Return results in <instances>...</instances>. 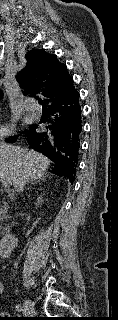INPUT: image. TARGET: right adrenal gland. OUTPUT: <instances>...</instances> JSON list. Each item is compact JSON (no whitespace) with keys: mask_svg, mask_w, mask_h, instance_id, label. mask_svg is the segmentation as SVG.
I'll list each match as a JSON object with an SVG mask.
<instances>
[{"mask_svg":"<svg viewBox=\"0 0 118 320\" xmlns=\"http://www.w3.org/2000/svg\"><path fill=\"white\" fill-rule=\"evenodd\" d=\"M45 177H46V176H43V177H41V178H39V179L35 180L34 182H32V183H31V185H34V184H36V183L40 182V180H44V179H45Z\"/></svg>","mask_w":118,"mask_h":320,"instance_id":"1","label":"right adrenal gland"}]
</instances>
